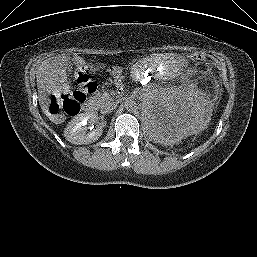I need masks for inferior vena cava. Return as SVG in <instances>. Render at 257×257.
I'll use <instances>...</instances> for the list:
<instances>
[{"label": "inferior vena cava", "mask_w": 257, "mask_h": 257, "mask_svg": "<svg viewBox=\"0 0 257 257\" xmlns=\"http://www.w3.org/2000/svg\"><path fill=\"white\" fill-rule=\"evenodd\" d=\"M116 103L115 102H113V101H107L104 105H103V107H102V109H101V112L102 113H110L112 110H114L115 108H116Z\"/></svg>", "instance_id": "inferior-vena-cava-1"}]
</instances>
